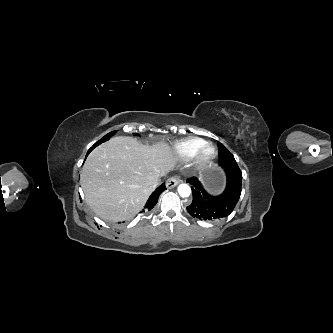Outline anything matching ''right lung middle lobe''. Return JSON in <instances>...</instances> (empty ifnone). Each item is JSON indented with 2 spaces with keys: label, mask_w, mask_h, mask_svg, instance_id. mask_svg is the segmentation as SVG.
I'll return each mask as SVG.
<instances>
[{
  "label": "right lung middle lobe",
  "mask_w": 333,
  "mask_h": 333,
  "mask_svg": "<svg viewBox=\"0 0 333 333\" xmlns=\"http://www.w3.org/2000/svg\"><path fill=\"white\" fill-rule=\"evenodd\" d=\"M115 133H116V131H113V132L108 133V134L105 135L101 140H99V141L97 142V145H99V144H101V143H103V142L109 140V138H110L111 136H113ZM134 135H138V134H134Z\"/></svg>",
  "instance_id": "dd1d6c3e"
}]
</instances>
